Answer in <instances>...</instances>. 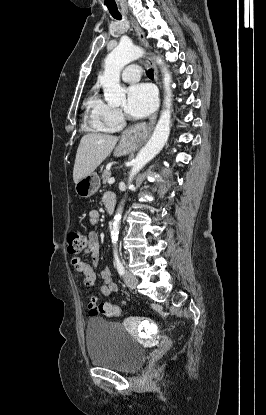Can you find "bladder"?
<instances>
[{"label": "bladder", "mask_w": 266, "mask_h": 415, "mask_svg": "<svg viewBox=\"0 0 266 415\" xmlns=\"http://www.w3.org/2000/svg\"><path fill=\"white\" fill-rule=\"evenodd\" d=\"M86 348L94 366L134 372L143 364L145 348L119 323L94 317L86 326Z\"/></svg>", "instance_id": "obj_1"}]
</instances>
